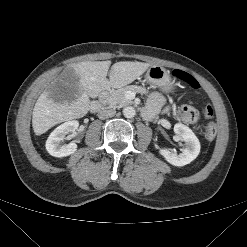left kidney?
Listing matches in <instances>:
<instances>
[{"instance_id": "5707ae66", "label": "left kidney", "mask_w": 247, "mask_h": 247, "mask_svg": "<svg viewBox=\"0 0 247 247\" xmlns=\"http://www.w3.org/2000/svg\"><path fill=\"white\" fill-rule=\"evenodd\" d=\"M174 132L178 138L185 142V146L181 149V153H173L166 148L159 150V153L166 159L167 162L174 166H185L190 164L200 152V142L192 130L181 124L174 125Z\"/></svg>"}]
</instances>
